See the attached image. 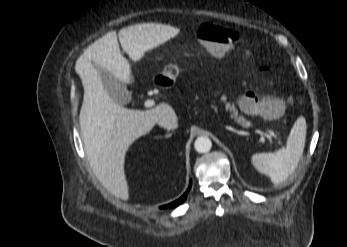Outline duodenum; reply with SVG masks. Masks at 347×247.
Returning a JSON list of instances; mask_svg holds the SVG:
<instances>
[{
	"label": "duodenum",
	"instance_id": "obj_1",
	"mask_svg": "<svg viewBox=\"0 0 347 247\" xmlns=\"http://www.w3.org/2000/svg\"><path fill=\"white\" fill-rule=\"evenodd\" d=\"M155 83L158 85L161 84L159 78H155Z\"/></svg>",
	"mask_w": 347,
	"mask_h": 247
}]
</instances>
